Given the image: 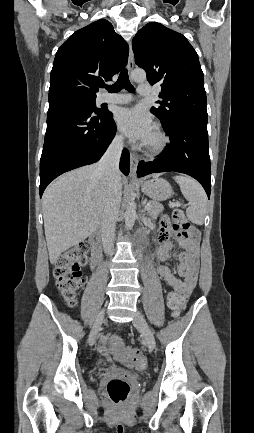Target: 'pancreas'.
I'll list each match as a JSON object with an SVG mask.
<instances>
[{"instance_id": "obj_1", "label": "pancreas", "mask_w": 254, "mask_h": 433, "mask_svg": "<svg viewBox=\"0 0 254 433\" xmlns=\"http://www.w3.org/2000/svg\"><path fill=\"white\" fill-rule=\"evenodd\" d=\"M147 204L150 205L149 209L147 210V215L150 216L152 219H157L159 214L164 209L162 204L156 201H149Z\"/></svg>"}]
</instances>
